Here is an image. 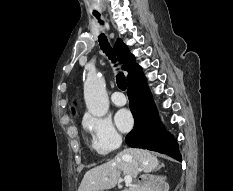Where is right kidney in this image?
Returning <instances> with one entry per match:
<instances>
[{
  "label": "right kidney",
  "instance_id": "right-kidney-1",
  "mask_svg": "<svg viewBox=\"0 0 233 191\" xmlns=\"http://www.w3.org/2000/svg\"><path fill=\"white\" fill-rule=\"evenodd\" d=\"M145 191H169L166 177L161 175L153 177Z\"/></svg>",
  "mask_w": 233,
  "mask_h": 191
}]
</instances>
